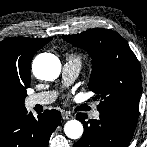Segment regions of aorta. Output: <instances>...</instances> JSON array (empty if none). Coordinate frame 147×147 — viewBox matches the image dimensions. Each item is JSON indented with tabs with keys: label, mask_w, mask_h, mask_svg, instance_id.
Here are the masks:
<instances>
[{
	"label": "aorta",
	"mask_w": 147,
	"mask_h": 147,
	"mask_svg": "<svg viewBox=\"0 0 147 147\" xmlns=\"http://www.w3.org/2000/svg\"><path fill=\"white\" fill-rule=\"evenodd\" d=\"M32 71L38 79L53 81L60 74L61 63L55 55L42 53L34 59ZM64 132L68 138L79 139L83 134V125L78 120H70L65 124Z\"/></svg>",
	"instance_id": "762f6f07"
}]
</instances>
